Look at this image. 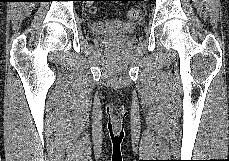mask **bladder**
Wrapping results in <instances>:
<instances>
[{"label": "bladder", "mask_w": 229, "mask_h": 161, "mask_svg": "<svg viewBox=\"0 0 229 161\" xmlns=\"http://www.w3.org/2000/svg\"><path fill=\"white\" fill-rule=\"evenodd\" d=\"M90 31L95 36L106 34L134 36L137 32V27L134 24L117 19H102L91 23Z\"/></svg>", "instance_id": "bladder-1"}]
</instances>
